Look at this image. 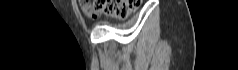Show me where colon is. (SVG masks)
<instances>
[{
    "label": "colon",
    "mask_w": 238,
    "mask_h": 70,
    "mask_svg": "<svg viewBox=\"0 0 238 70\" xmlns=\"http://www.w3.org/2000/svg\"><path fill=\"white\" fill-rule=\"evenodd\" d=\"M134 0H81L82 11L96 19L101 15L125 18L136 7Z\"/></svg>",
    "instance_id": "5ec220e1"
}]
</instances>
